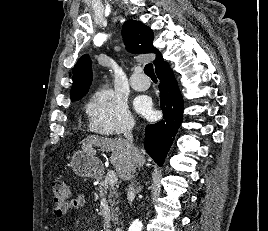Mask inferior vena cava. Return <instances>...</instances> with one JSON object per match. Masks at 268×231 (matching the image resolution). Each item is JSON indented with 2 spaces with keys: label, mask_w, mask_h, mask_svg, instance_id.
I'll return each instance as SVG.
<instances>
[{
  "label": "inferior vena cava",
  "mask_w": 268,
  "mask_h": 231,
  "mask_svg": "<svg viewBox=\"0 0 268 231\" xmlns=\"http://www.w3.org/2000/svg\"><path fill=\"white\" fill-rule=\"evenodd\" d=\"M125 141H126V145L127 148L130 149L131 151V155H132V160H133V167L130 170L129 176H128V180L131 181V185L129 187L130 192H133V184H134V178H135V174H136V168L138 166V162L140 160V152L139 150L134 146L133 143V136L131 133V130H127L125 132Z\"/></svg>",
  "instance_id": "obj_1"
}]
</instances>
